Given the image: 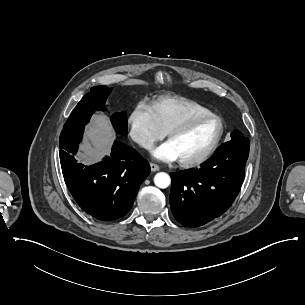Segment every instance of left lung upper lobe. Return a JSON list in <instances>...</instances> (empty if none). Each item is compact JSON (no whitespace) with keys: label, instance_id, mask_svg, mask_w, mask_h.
<instances>
[{"label":"left lung upper lobe","instance_id":"1","mask_svg":"<svg viewBox=\"0 0 305 305\" xmlns=\"http://www.w3.org/2000/svg\"><path fill=\"white\" fill-rule=\"evenodd\" d=\"M245 138L241 132L238 130H234V132L231 134V140L230 141H235V140H240Z\"/></svg>","mask_w":305,"mask_h":305}]
</instances>
